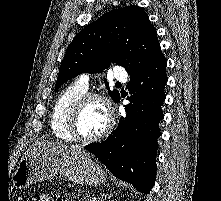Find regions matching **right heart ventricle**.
<instances>
[{
    "mask_svg": "<svg viewBox=\"0 0 221 201\" xmlns=\"http://www.w3.org/2000/svg\"><path fill=\"white\" fill-rule=\"evenodd\" d=\"M86 91L87 89L75 83L64 89L56 99L51 113L50 126L52 133L58 139L74 140L68 131L69 114L73 105Z\"/></svg>",
    "mask_w": 221,
    "mask_h": 201,
    "instance_id": "right-heart-ventricle-1",
    "label": "right heart ventricle"
}]
</instances>
